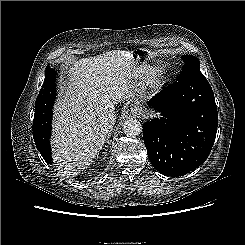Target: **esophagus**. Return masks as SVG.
<instances>
[{"instance_id":"esophagus-1","label":"esophagus","mask_w":245,"mask_h":245,"mask_svg":"<svg viewBox=\"0 0 245 245\" xmlns=\"http://www.w3.org/2000/svg\"><path fill=\"white\" fill-rule=\"evenodd\" d=\"M129 113L132 114V115H139L141 112H140L139 109H133V108H132V109L129 111Z\"/></svg>"}]
</instances>
